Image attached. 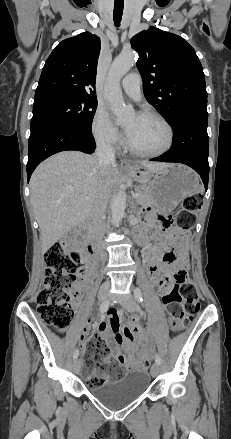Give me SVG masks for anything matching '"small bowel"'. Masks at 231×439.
<instances>
[{
    "instance_id": "c3829d8e",
    "label": "small bowel",
    "mask_w": 231,
    "mask_h": 439,
    "mask_svg": "<svg viewBox=\"0 0 231 439\" xmlns=\"http://www.w3.org/2000/svg\"><path fill=\"white\" fill-rule=\"evenodd\" d=\"M149 216L152 220H157L152 214H149ZM150 231V228H146L144 233L138 232L137 236L139 239L146 240L145 234ZM168 235L173 241L182 244L180 255H185L184 239L178 230L172 229ZM154 236L155 241L148 243L145 249V258L150 265V277L153 285L158 288L160 294H163L170 287L168 277L174 270L173 264L168 262L167 259V257L172 256L171 244L166 242L167 236L165 234H155ZM80 290L81 287H78L75 304L79 300ZM108 318L109 325L107 326L106 323L101 322L98 329L101 336L111 347V357L119 360L128 369L137 368L139 364L134 361V358L141 350H147L148 345V338L144 335H138L135 329L138 326V316L134 317L129 325L125 327L120 325L117 310L110 309ZM83 349H85L84 343ZM108 361L106 360L105 363ZM96 373H100V370H97Z\"/></svg>"
}]
</instances>
